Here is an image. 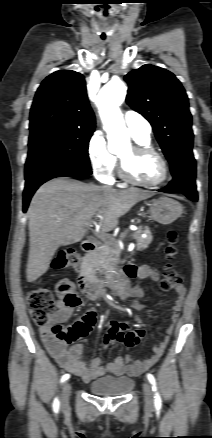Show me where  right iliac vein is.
Returning <instances> with one entry per match:
<instances>
[{"label": "right iliac vein", "mask_w": 212, "mask_h": 438, "mask_svg": "<svg viewBox=\"0 0 212 438\" xmlns=\"http://www.w3.org/2000/svg\"><path fill=\"white\" fill-rule=\"evenodd\" d=\"M70 391H71L70 383L65 382L62 386V392L60 397V404L63 409L68 407Z\"/></svg>", "instance_id": "1"}]
</instances>
